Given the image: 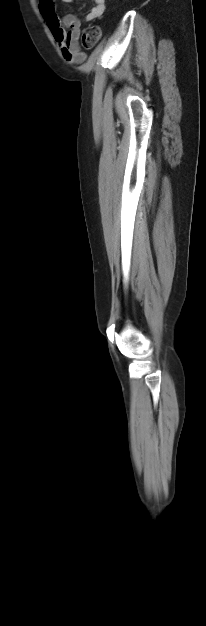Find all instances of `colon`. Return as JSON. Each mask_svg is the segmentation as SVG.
<instances>
[{
	"label": "colon",
	"mask_w": 206,
	"mask_h": 626,
	"mask_svg": "<svg viewBox=\"0 0 206 626\" xmlns=\"http://www.w3.org/2000/svg\"><path fill=\"white\" fill-rule=\"evenodd\" d=\"M101 30L98 26H91L85 30L82 43L85 48H92L100 39Z\"/></svg>",
	"instance_id": "colon-1"
}]
</instances>
